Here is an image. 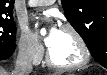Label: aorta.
Listing matches in <instances>:
<instances>
[{
  "label": "aorta",
  "instance_id": "aorta-1",
  "mask_svg": "<svg viewBox=\"0 0 107 75\" xmlns=\"http://www.w3.org/2000/svg\"><path fill=\"white\" fill-rule=\"evenodd\" d=\"M41 33H45V30H41Z\"/></svg>",
  "mask_w": 107,
  "mask_h": 75
}]
</instances>
